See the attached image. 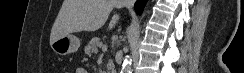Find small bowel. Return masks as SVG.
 <instances>
[{
	"mask_svg": "<svg viewBox=\"0 0 244 73\" xmlns=\"http://www.w3.org/2000/svg\"><path fill=\"white\" fill-rule=\"evenodd\" d=\"M76 73H87L86 70L84 68H78L76 70Z\"/></svg>",
	"mask_w": 244,
	"mask_h": 73,
	"instance_id": "1",
	"label": "small bowel"
}]
</instances>
